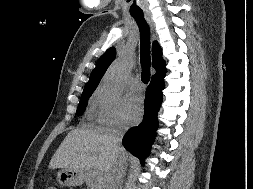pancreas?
Returning <instances> with one entry per match:
<instances>
[{
	"label": "pancreas",
	"instance_id": "cf45deb5",
	"mask_svg": "<svg viewBox=\"0 0 253 189\" xmlns=\"http://www.w3.org/2000/svg\"><path fill=\"white\" fill-rule=\"evenodd\" d=\"M85 181L89 189H103L104 187V175L96 170L89 171Z\"/></svg>",
	"mask_w": 253,
	"mask_h": 189
}]
</instances>
